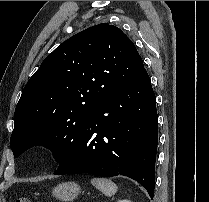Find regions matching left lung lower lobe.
Returning <instances> with one entry per match:
<instances>
[{"instance_id": "1", "label": "left lung lower lobe", "mask_w": 209, "mask_h": 202, "mask_svg": "<svg viewBox=\"0 0 209 202\" xmlns=\"http://www.w3.org/2000/svg\"><path fill=\"white\" fill-rule=\"evenodd\" d=\"M157 123L156 97L143 69L90 112L84 135L54 174L124 175L153 199Z\"/></svg>"}]
</instances>
